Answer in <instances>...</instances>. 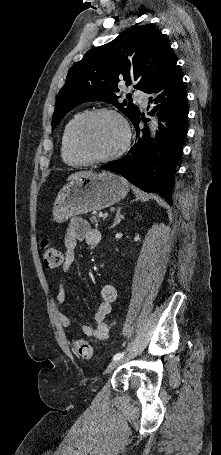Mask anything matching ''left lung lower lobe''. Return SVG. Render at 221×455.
Here are the masks:
<instances>
[{
	"mask_svg": "<svg viewBox=\"0 0 221 455\" xmlns=\"http://www.w3.org/2000/svg\"><path fill=\"white\" fill-rule=\"evenodd\" d=\"M155 102L160 110L159 131L155 141L151 143L145 124L140 131V120L144 116L138 114L132 121L137 140L135 145L121 159L109 162L102 169L118 173L128 181L147 192L161 195L172 204V188L178 160L183 150V142L187 135L188 100L187 92L182 81V72L175 64L159 82L147 93H158ZM152 97H150V102ZM154 108L149 115H153Z\"/></svg>",
	"mask_w": 221,
	"mask_h": 455,
	"instance_id": "obj_1",
	"label": "left lung lower lobe"
}]
</instances>
